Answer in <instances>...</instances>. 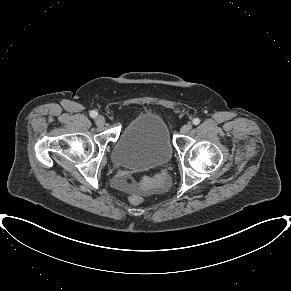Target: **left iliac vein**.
Returning a JSON list of instances; mask_svg holds the SVG:
<instances>
[{
    "label": "left iliac vein",
    "instance_id": "left-iliac-vein-1",
    "mask_svg": "<svg viewBox=\"0 0 291 291\" xmlns=\"http://www.w3.org/2000/svg\"><path fill=\"white\" fill-rule=\"evenodd\" d=\"M192 129V125L190 124V123H188V124H185V125H183L182 127H181V133L182 134H186V133H188L190 130Z\"/></svg>",
    "mask_w": 291,
    "mask_h": 291
}]
</instances>
